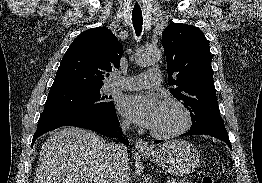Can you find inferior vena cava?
I'll return each instance as SVG.
<instances>
[{"instance_id":"1","label":"inferior vena cava","mask_w":262,"mask_h":183,"mask_svg":"<svg viewBox=\"0 0 262 183\" xmlns=\"http://www.w3.org/2000/svg\"><path fill=\"white\" fill-rule=\"evenodd\" d=\"M129 126L128 121L121 123L124 132L129 129ZM107 150L112 161L113 183H132L126 148L121 144L110 143L107 145Z\"/></svg>"}]
</instances>
